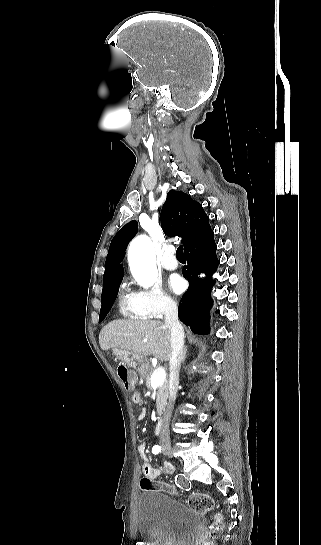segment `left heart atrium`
<instances>
[{"mask_svg":"<svg viewBox=\"0 0 321 545\" xmlns=\"http://www.w3.org/2000/svg\"><path fill=\"white\" fill-rule=\"evenodd\" d=\"M167 286L174 293H181L185 288L183 279L178 275H170L167 280Z\"/></svg>","mask_w":321,"mask_h":545,"instance_id":"left-heart-atrium-1","label":"left heart atrium"}]
</instances>
